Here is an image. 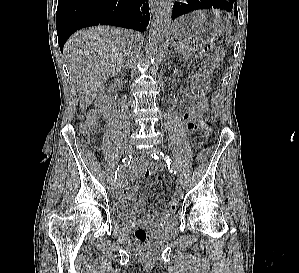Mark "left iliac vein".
<instances>
[{
	"mask_svg": "<svg viewBox=\"0 0 299 273\" xmlns=\"http://www.w3.org/2000/svg\"><path fill=\"white\" fill-rule=\"evenodd\" d=\"M143 154L145 153V154H150V153H153V152H156V149H151V150H142L141 151ZM176 187L177 188H181L182 187V181H181V179H179V178H177L176 179Z\"/></svg>",
	"mask_w": 299,
	"mask_h": 273,
	"instance_id": "left-iliac-vein-1",
	"label": "left iliac vein"
}]
</instances>
